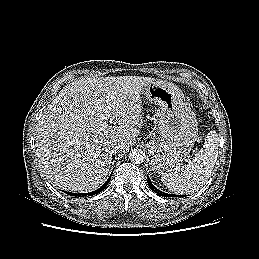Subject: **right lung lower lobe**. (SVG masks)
Masks as SVG:
<instances>
[{"label":"right lung lower lobe","mask_w":259,"mask_h":259,"mask_svg":"<svg viewBox=\"0 0 259 259\" xmlns=\"http://www.w3.org/2000/svg\"><path fill=\"white\" fill-rule=\"evenodd\" d=\"M110 179H111V176L108 178V180L104 183V185H102L99 189L93 191V192H90V193H83V194H76V193H73L74 196H86V195H95L99 192H101L103 189H105V187L108 185V183L110 182ZM67 194L71 195L70 192H66Z\"/></svg>","instance_id":"98d812e1"}]
</instances>
